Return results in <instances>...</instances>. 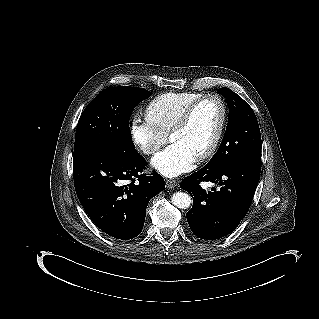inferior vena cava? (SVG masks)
Returning <instances> with one entry per match:
<instances>
[{
	"instance_id": "inferior-vena-cava-1",
	"label": "inferior vena cava",
	"mask_w": 319,
	"mask_h": 319,
	"mask_svg": "<svg viewBox=\"0 0 319 319\" xmlns=\"http://www.w3.org/2000/svg\"><path fill=\"white\" fill-rule=\"evenodd\" d=\"M154 150V148H152L151 146H145V153H151V151H153Z\"/></svg>"
}]
</instances>
